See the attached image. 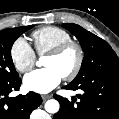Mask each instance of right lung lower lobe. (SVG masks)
<instances>
[{"label": "right lung lower lobe", "mask_w": 119, "mask_h": 119, "mask_svg": "<svg viewBox=\"0 0 119 119\" xmlns=\"http://www.w3.org/2000/svg\"><path fill=\"white\" fill-rule=\"evenodd\" d=\"M20 85L19 77L0 80V119H29L31 112L42 103L41 96L34 92L8 97L13 90H19Z\"/></svg>", "instance_id": "right-lung-lower-lobe-1"}]
</instances>
